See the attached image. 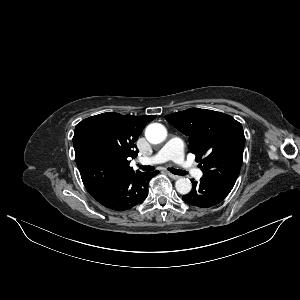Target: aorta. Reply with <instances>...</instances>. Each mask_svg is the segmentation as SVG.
I'll use <instances>...</instances> for the list:
<instances>
[{
	"instance_id": "obj_1",
	"label": "aorta",
	"mask_w": 300,
	"mask_h": 300,
	"mask_svg": "<svg viewBox=\"0 0 300 300\" xmlns=\"http://www.w3.org/2000/svg\"><path fill=\"white\" fill-rule=\"evenodd\" d=\"M145 137L151 144H159L167 137L166 128L160 123H152L145 130ZM175 187L178 193L188 194L192 189V183L188 178H179L175 182Z\"/></svg>"
}]
</instances>
